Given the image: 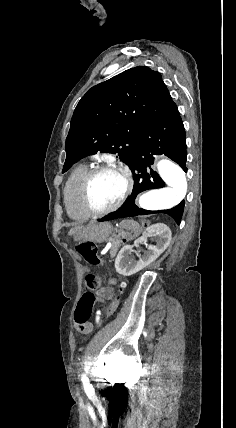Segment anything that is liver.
I'll return each mask as SVG.
<instances>
[{"label":"liver","instance_id":"6515ba94","mask_svg":"<svg viewBox=\"0 0 236 428\" xmlns=\"http://www.w3.org/2000/svg\"><path fill=\"white\" fill-rule=\"evenodd\" d=\"M84 226H75V228H71L70 232H68V236H74L76 238L77 234H81Z\"/></svg>","mask_w":236,"mask_h":428}]
</instances>
